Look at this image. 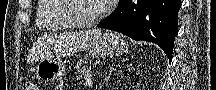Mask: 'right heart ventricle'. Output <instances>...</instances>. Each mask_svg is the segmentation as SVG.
I'll list each match as a JSON object with an SVG mask.
<instances>
[{
	"instance_id": "1",
	"label": "right heart ventricle",
	"mask_w": 216,
	"mask_h": 90,
	"mask_svg": "<svg viewBox=\"0 0 216 90\" xmlns=\"http://www.w3.org/2000/svg\"><path fill=\"white\" fill-rule=\"evenodd\" d=\"M40 6L36 7V25L38 29H67L75 28L66 20V15L59 14L63 2L66 0H39Z\"/></svg>"
}]
</instances>
